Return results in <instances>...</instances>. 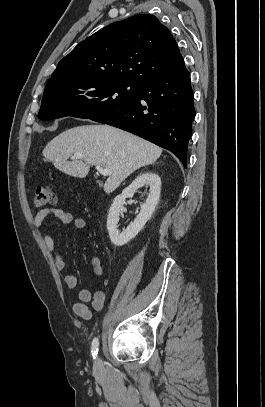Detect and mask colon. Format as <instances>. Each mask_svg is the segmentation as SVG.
I'll return each mask as SVG.
<instances>
[{
    "label": "colon",
    "instance_id": "1",
    "mask_svg": "<svg viewBox=\"0 0 265 407\" xmlns=\"http://www.w3.org/2000/svg\"><path fill=\"white\" fill-rule=\"evenodd\" d=\"M55 201V194L50 186L39 185L36 188L34 204L36 206L50 205Z\"/></svg>",
    "mask_w": 265,
    "mask_h": 407
}]
</instances>
